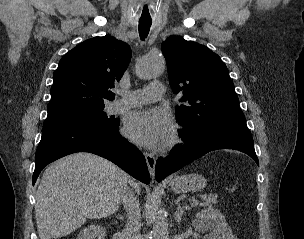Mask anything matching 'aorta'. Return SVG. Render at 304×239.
<instances>
[{"label":"aorta","mask_w":304,"mask_h":239,"mask_svg":"<svg viewBox=\"0 0 304 239\" xmlns=\"http://www.w3.org/2000/svg\"><path fill=\"white\" fill-rule=\"evenodd\" d=\"M165 69V59L162 56H148L137 65V75L141 79H151L158 77ZM153 229L151 235L153 239H169L168 222L166 217L156 207L153 208Z\"/></svg>","instance_id":"obj_1"}]
</instances>
